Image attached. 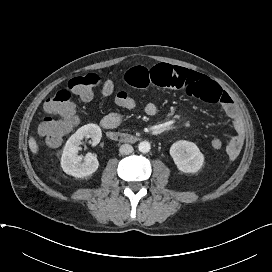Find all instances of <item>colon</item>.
I'll return each mask as SVG.
<instances>
[{"label":"colon","instance_id":"5ec220e1","mask_svg":"<svg viewBox=\"0 0 272 272\" xmlns=\"http://www.w3.org/2000/svg\"><path fill=\"white\" fill-rule=\"evenodd\" d=\"M102 83L98 74H87L72 78L66 87L58 89L44 105L47 116L39 125V134L44 138L49 146H57L64 136L75 126L77 115L72 102V94L79 95L84 100H89L93 96L94 89ZM104 95H112L115 86L112 81L102 83ZM115 104L122 110H133L138 106V101L130 93L119 91L115 94ZM210 146L214 150L223 148L224 143L219 138L210 141Z\"/></svg>","mask_w":272,"mask_h":272}]
</instances>
